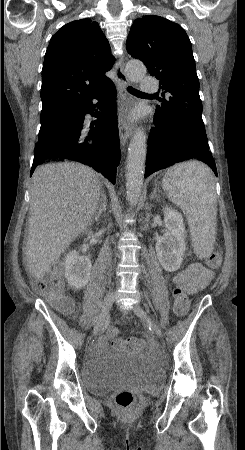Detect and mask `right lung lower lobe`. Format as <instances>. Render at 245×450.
<instances>
[{
  "mask_svg": "<svg viewBox=\"0 0 245 450\" xmlns=\"http://www.w3.org/2000/svg\"><path fill=\"white\" fill-rule=\"evenodd\" d=\"M114 92L110 81L91 96L56 115L39 134L30 175L44 160L69 159L89 165L115 184L120 145ZM93 99L100 103L94 105ZM96 106L101 112L95 114L98 119L89 124L85 115L94 116Z\"/></svg>",
  "mask_w": 245,
  "mask_h": 450,
  "instance_id": "right-lung-lower-lobe-1",
  "label": "right lung lower lobe"
}]
</instances>
